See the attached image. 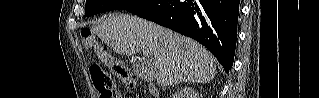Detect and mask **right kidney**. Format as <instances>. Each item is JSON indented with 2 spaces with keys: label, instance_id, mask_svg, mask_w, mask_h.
<instances>
[{
  "label": "right kidney",
  "instance_id": "obj_1",
  "mask_svg": "<svg viewBox=\"0 0 319 98\" xmlns=\"http://www.w3.org/2000/svg\"><path fill=\"white\" fill-rule=\"evenodd\" d=\"M192 95H193V96H196V97H199V96H197V94H194V93H193Z\"/></svg>",
  "mask_w": 319,
  "mask_h": 98
}]
</instances>
